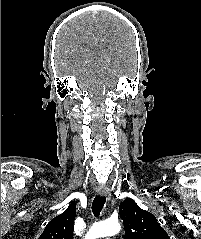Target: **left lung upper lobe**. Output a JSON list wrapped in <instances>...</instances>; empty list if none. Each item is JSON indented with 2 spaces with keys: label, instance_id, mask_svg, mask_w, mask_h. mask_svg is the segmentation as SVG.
Masks as SVG:
<instances>
[{
  "label": "left lung upper lobe",
  "instance_id": "1",
  "mask_svg": "<svg viewBox=\"0 0 201 239\" xmlns=\"http://www.w3.org/2000/svg\"><path fill=\"white\" fill-rule=\"evenodd\" d=\"M126 239H170L155 216L141 209L131 198L119 206Z\"/></svg>",
  "mask_w": 201,
  "mask_h": 239
}]
</instances>
